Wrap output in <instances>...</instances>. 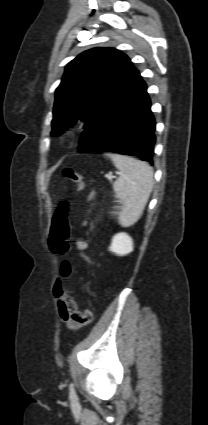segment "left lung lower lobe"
<instances>
[{
	"label": "left lung lower lobe",
	"mask_w": 208,
	"mask_h": 425,
	"mask_svg": "<svg viewBox=\"0 0 208 425\" xmlns=\"http://www.w3.org/2000/svg\"><path fill=\"white\" fill-rule=\"evenodd\" d=\"M154 131L147 86L138 74L85 128L79 150L138 156L153 164Z\"/></svg>",
	"instance_id": "1"
}]
</instances>
